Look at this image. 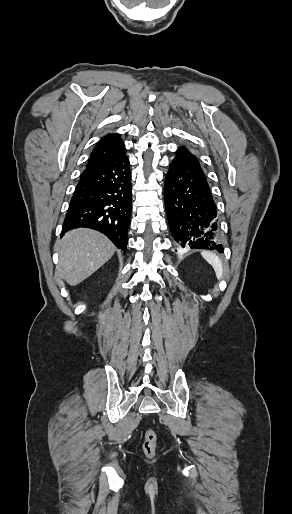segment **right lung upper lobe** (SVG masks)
Returning a JSON list of instances; mask_svg holds the SVG:
<instances>
[{"label": "right lung upper lobe", "instance_id": "cb5924a9", "mask_svg": "<svg viewBox=\"0 0 292 514\" xmlns=\"http://www.w3.org/2000/svg\"><path fill=\"white\" fill-rule=\"evenodd\" d=\"M126 148L121 141L120 134H107L98 143L91 153L89 164H102L125 154Z\"/></svg>", "mask_w": 292, "mask_h": 514}]
</instances>
